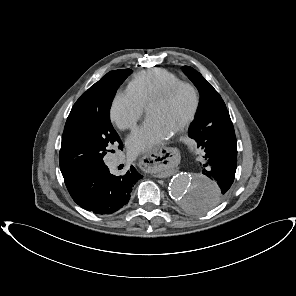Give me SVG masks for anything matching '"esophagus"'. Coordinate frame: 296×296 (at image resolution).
I'll return each mask as SVG.
<instances>
[{
    "label": "esophagus",
    "mask_w": 296,
    "mask_h": 296,
    "mask_svg": "<svg viewBox=\"0 0 296 296\" xmlns=\"http://www.w3.org/2000/svg\"><path fill=\"white\" fill-rule=\"evenodd\" d=\"M184 158L183 150L176 145L164 146L150 154H143L137 160V167L143 173L160 174L179 165ZM166 174H161L165 176Z\"/></svg>",
    "instance_id": "1"
}]
</instances>
